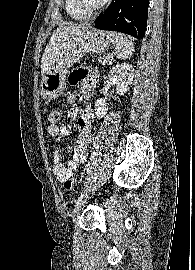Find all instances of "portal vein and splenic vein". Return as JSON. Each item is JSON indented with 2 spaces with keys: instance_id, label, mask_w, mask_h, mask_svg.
<instances>
[{
  "instance_id": "obj_1",
  "label": "portal vein and splenic vein",
  "mask_w": 195,
  "mask_h": 270,
  "mask_svg": "<svg viewBox=\"0 0 195 270\" xmlns=\"http://www.w3.org/2000/svg\"><path fill=\"white\" fill-rule=\"evenodd\" d=\"M112 56H113L112 54L108 55V57H110V58H111Z\"/></svg>"
}]
</instances>
